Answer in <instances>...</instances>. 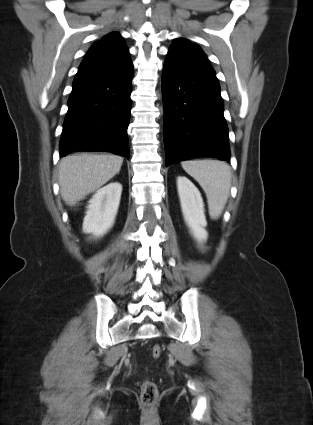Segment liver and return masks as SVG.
<instances>
[{"mask_svg": "<svg viewBox=\"0 0 313 425\" xmlns=\"http://www.w3.org/2000/svg\"><path fill=\"white\" fill-rule=\"evenodd\" d=\"M123 157L112 154L81 153L64 157L59 163L60 193L74 206L119 173Z\"/></svg>", "mask_w": 313, "mask_h": 425, "instance_id": "1", "label": "liver"}]
</instances>
